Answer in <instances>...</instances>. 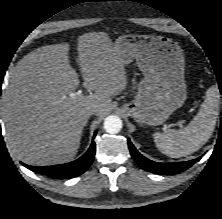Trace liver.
<instances>
[{"instance_id":"liver-1","label":"liver","mask_w":222,"mask_h":219,"mask_svg":"<svg viewBox=\"0 0 222 219\" xmlns=\"http://www.w3.org/2000/svg\"><path fill=\"white\" fill-rule=\"evenodd\" d=\"M112 46L105 32L78 38L83 85L95 92L86 96H70L79 79L68 43L43 46L17 63L3 98V116L8 144L19 160L47 166L75 157L89 117L84 112L97 107V116L107 114L111 97L127 85L125 65Z\"/></svg>"}]
</instances>
